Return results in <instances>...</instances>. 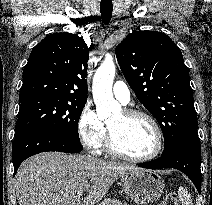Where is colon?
Wrapping results in <instances>:
<instances>
[{"label": "colon", "instance_id": "colon-1", "mask_svg": "<svg viewBox=\"0 0 212 205\" xmlns=\"http://www.w3.org/2000/svg\"><path fill=\"white\" fill-rule=\"evenodd\" d=\"M162 205H178V198L174 192L166 194Z\"/></svg>", "mask_w": 212, "mask_h": 205}]
</instances>
